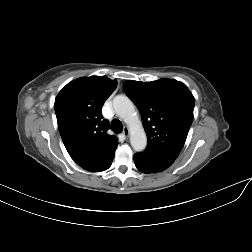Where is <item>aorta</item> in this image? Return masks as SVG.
I'll return each instance as SVG.
<instances>
[{
	"mask_svg": "<svg viewBox=\"0 0 252 252\" xmlns=\"http://www.w3.org/2000/svg\"><path fill=\"white\" fill-rule=\"evenodd\" d=\"M113 108L116 114L125 120L130 127V143L134 150L142 151L147 145L144 129L138 121L133 102L124 95H118L113 99Z\"/></svg>",
	"mask_w": 252,
	"mask_h": 252,
	"instance_id": "1",
	"label": "aorta"
}]
</instances>
